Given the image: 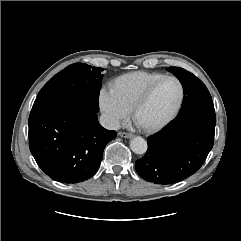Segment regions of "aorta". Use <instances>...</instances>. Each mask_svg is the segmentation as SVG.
Masks as SVG:
<instances>
[{
    "label": "aorta",
    "instance_id": "obj_1",
    "mask_svg": "<svg viewBox=\"0 0 241 241\" xmlns=\"http://www.w3.org/2000/svg\"><path fill=\"white\" fill-rule=\"evenodd\" d=\"M147 147V141L140 136L134 137L130 141V148L136 154H145L147 151Z\"/></svg>",
    "mask_w": 241,
    "mask_h": 241
}]
</instances>
